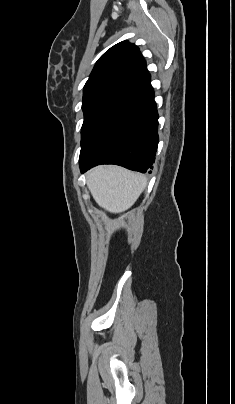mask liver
I'll return each instance as SVG.
<instances>
[{"mask_svg": "<svg viewBox=\"0 0 235 404\" xmlns=\"http://www.w3.org/2000/svg\"><path fill=\"white\" fill-rule=\"evenodd\" d=\"M143 174L119 166H97L87 173V186L96 203L110 213L128 210L146 187Z\"/></svg>", "mask_w": 235, "mask_h": 404, "instance_id": "obj_1", "label": "liver"}]
</instances>
